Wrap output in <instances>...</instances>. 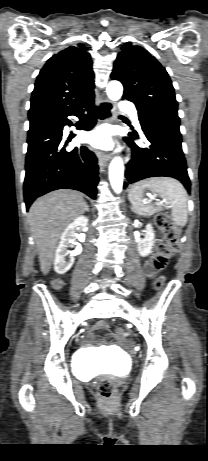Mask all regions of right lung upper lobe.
<instances>
[{"label": "right lung upper lobe", "instance_id": "cb5924a9", "mask_svg": "<svg viewBox=\"0 0 208 461\" xmlns=\"http://www.w3.org/2000/svg\"><path fill=\"white\" fill-rule=\"evenodd\" d=\"M92 60L82 44L53 55L37 76L29 119L48 120L82 109L94 100Z\"/></svg>", "mask_w": 208, "mask_h": 461}]
</instances>
